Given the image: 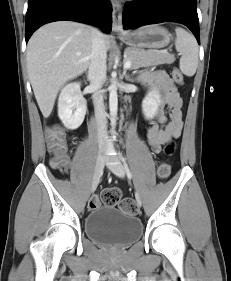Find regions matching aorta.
Wrapping results in <instances>:
<instances>
[{"instance_id":"aorta-1","label":"aorta","mask_w":231,"mask_h":281,"mask_svg":"<svg viewBox=\"0 0 231 281\" xmlns=\"http://www.w3.org/2000/svg\"><path fill=\"white\" fill-rule=\"evenodd\" d=\"M109 109L111 124L115 126L118 111L117 81L115 80V74L112 75V82L109 87Z\"/></svg>"}]
</instances>
